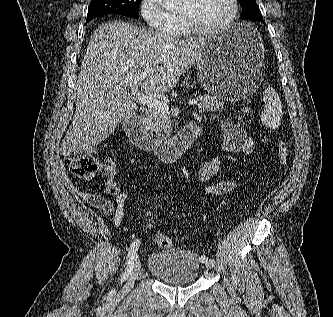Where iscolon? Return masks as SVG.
Wrapping results in <instances>:
<instances>
[{"mask_svg": "<svg viewBox=\"0 0 333 317\" xmlns=\"http://www.w3.org/2000/svg\"><path fill=\"white\" fill-rule=\"evenodd\" d=\"M251 108L243 107L241 113L243 115L251 114ZM289 156V148L283 140L278 141V158L282 165L287 163ZM67 165L71 174L79 179L92 180L99 168L100 163L98 158L93 153H87L83 155H77L67 159ZM159 210L157 208H152L147 213V226L153 229L158 221ZM154 243L161 248H172L174 246V241L172 238L161 235L158 233H153Z\"/></svg>", "mask_w": 333, "mask_h": 317, "instance_id": "obj_1", "label": "colon"}]
</instances>
